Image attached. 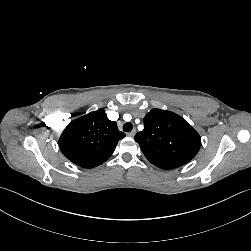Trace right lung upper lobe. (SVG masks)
Listing matches in <instances>:
<instances>
[{
    "instance_id": "obj_1",
    "label": "right lung upper lobe",
    "mask_w": 251,
    "mask_h": 251,
    "mask_svg": "<svg viewBox=\"0 0 251 251\" xmlns=\"http://www.w3.org/2000/svg\"><path fill=\"white\" fill-rule=\"evenodd\" d=\"M125 134L118 130L115 121L99 109L72 121L59 139L62 153L83 168H93L104 163L114 152Z\"/></svg>"
}]
</instances>
